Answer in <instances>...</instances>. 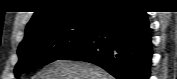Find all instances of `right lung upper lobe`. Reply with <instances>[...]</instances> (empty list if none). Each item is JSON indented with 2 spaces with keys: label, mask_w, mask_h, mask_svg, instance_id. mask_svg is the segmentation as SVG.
I'll list each match as a JSON object with an SVG mask.
<instances>
[{
  "label": "right lung upper lobe",
  "mask_w": 177,
  "mask_h": 79,
  "mask_svg": "<svg viewBox=\"0 0 177 79\" xmlns=\"http://www.w3.org/2000/svg\"><path fill=\"white\" fill-rule=\"evenodd\" d=\"M131 3L128 0H43L38 3V10L27 24L26 33L45 25L69 21L93 13L101 15L108 8Z\"/></svg>",
  "instance_id": "cb5924a9"
}]
</instances>
